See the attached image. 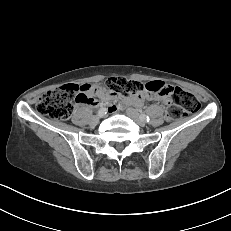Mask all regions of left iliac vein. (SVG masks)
<instances>
[{"mask_svg":"<svg viewBox=\"0 0 231 231\" xmlns=\"http://www.w3.org/2000/svg\"><path fill=\"white\" fill-rule=\"evenodd\" d=\"M126 112L127 115L131 117L133 120H135L140 126H145L146 120L142 117V115L139 114V112L136 109L128 108Z\"/></svg>","mask_w":231,"mask_h":231,"instance_id":"4c4485c4","label":"left iliac vein"}]
</instances>
